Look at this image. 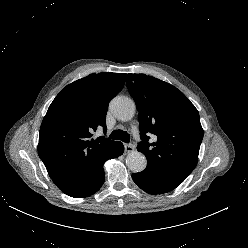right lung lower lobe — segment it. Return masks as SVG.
I'll use <instances>...</instances> for the list:
<instances>
[{"label":"right lung lower lobe","instance_id":"1","mask_svg":"<svg viewBox=\"0 0 248 248\" xmlns=\"http://www.w3.org/2000/svg\"><path fill=\"white\" fill-rule=\"evenodd\" d=\"M123 152H124L123 144L121 142H116V144L112 147L108 155V159L116 158L122 155ZM104 180H105V173H104V169L102 166L100 170L98 171V173L92 179L86 182L85 185L73 191L67 192L66 194L71 197H76V198L90 196L100 189V187L104 183Z\"/></svg>","mask_w":248,"mask_h":248}]
</instances>
